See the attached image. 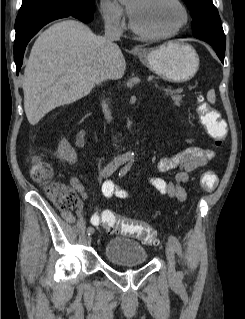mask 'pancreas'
<instances>
[{
    "label": "pancreas",
    "instance_id": "pancreas-1",
    "mask_svg": "<svg viewBox=\"0 0 245 319\" xmlns=\"http://www.w3.org/2000/svg\"><path fill=\"white\" fill-rule=\"evenodd\" d=\"M180 90L168 92V95L172 98L175 105H180L182 103L183 96L180 95Z\"/></svg>",
    "mask_w": 245,
    "mask_h": 319
}]
</instances>
